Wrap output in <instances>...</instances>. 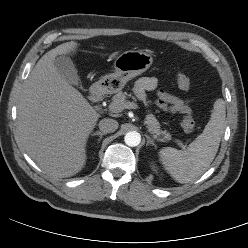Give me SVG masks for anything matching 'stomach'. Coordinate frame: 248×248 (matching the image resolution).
<instances>
[{
	"label": "stomach",
	"mask_w": 248,
	"mask_h": 248,
	"mask_svg": "<svg viewBox=\"0 0 248 248\" xmlns=\"http://www.w3.org/2000/svg\"><path fill=\"white\" fill-rule=\"evenodd\" d=\"M152 63L153 57L149 53L141 50L125 51L114 60V73L104 76L98 84L106 92H119L129 80L149 69Z\"/></svg>",
	"instance_id": "stomach-1"
}]
</instances>
